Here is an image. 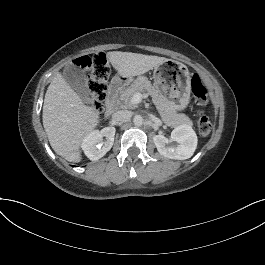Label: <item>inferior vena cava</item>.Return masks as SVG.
I'll list each match as a JSON object with an SVG mask.
<instances>
[{"label": "inferior vena cava", "instance_id": "inferior-vena-cava-1", "mask_svg": "<svg viewBox=\"0 0 265 265\" xmlns=\"http://www.w3.org/2000/svg\"><path fill=\"white\" fill-rule=\"evenodd\" d=\"M112 117L118 122H128L132 117V112L128 110H120L114 113Z\"/></svg>", "mask_w": 265, "mask_h": 265}]
</instances>
